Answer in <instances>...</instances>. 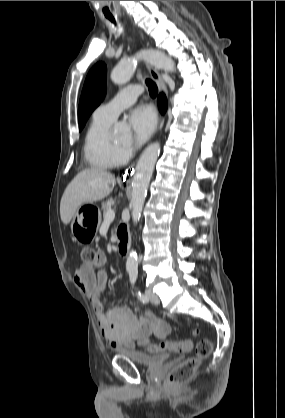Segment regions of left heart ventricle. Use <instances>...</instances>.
I'll return each mask as SVG.
<instances>
[{
	"label": "left heart ventricle",
	"mask_w": 285,
	"mask_h": 418,
	"mask_svg": "<svg viewBox=\"0 0 285 418\" xmlns=\"http://www.w3.org/2000/svg\"><path fill=\"white\" fill-rule=\"evenodd\" d=\"M115 143L118 144V145H122L123 144V142H121V141H115Z\"/></svg>",
	"instance_id": "1"
}]
</instances>
